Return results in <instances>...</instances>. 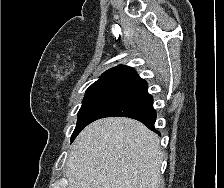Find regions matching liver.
<instances>
[{
	"label": "liver",
	"mask_w": 224,
	"mask_h": 188,
	"mask_svg": "<svg viewBox=\"0 0 224 188\" xmlns=\"http://www.w3.org/2000/svg\"><path fill=\"white\" fill-rule=\"evenodd\" d=\"M159 143V137L136 120H97L83 129L69 152L68 188H159Z\"/></svg>",
	"instance_id": "obj_1"
}]
</instances>
